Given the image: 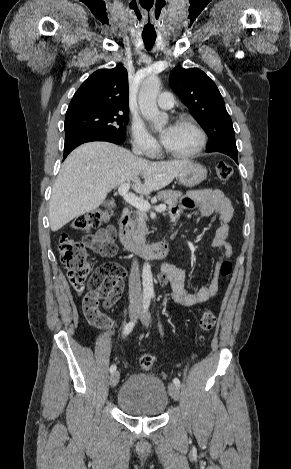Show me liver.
Instances as JSON below:
<instances>
[{
	"label": "liver",
	"instance_id": "obj_1",
	"mask_svg": "<svg viewBox=\"0 0 291 469\" xmlns=\"http://www.w3.org/2000/svg\"><path fill=\"white\" fill-rule=\"evenodd\" d=\"M189 163V160L149 161L107 142L83 144L66 158L53 186L50 228L55 232L74 218L96 210L108 192L124 183L143 195L162 189Z\"/></svg>",
	"mask_w": 291,
	"mask_h": 469
}]
</instances>
